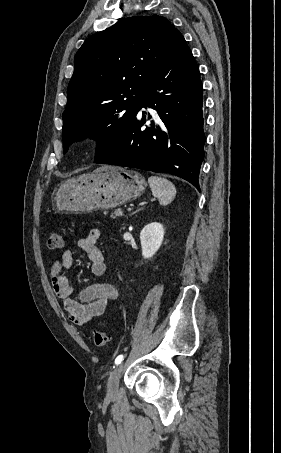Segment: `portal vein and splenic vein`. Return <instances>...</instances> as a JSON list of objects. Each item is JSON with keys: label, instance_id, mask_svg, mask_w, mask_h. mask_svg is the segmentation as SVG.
<instances>
[{"label": "portal vein and splenic vein", "instance_id": "1", "mask_svg": "<svg viewBox=\"0 0 281 453\" xmlns=\"http://www.w3.org/2000/svg\"><path fill=\"white\" fill-rule=\"evenodd\" d=\"M134 207H136V208L140 207L141 208L142 206L141 205L140 206L139 205H136V206L133 205L132 207H128V212H133V208Z\"/></svg>", "mask_w": 281, "mask_h": 453}]
</instances>
